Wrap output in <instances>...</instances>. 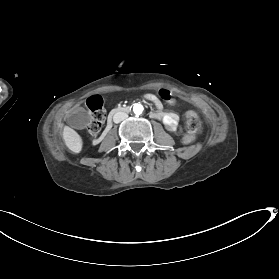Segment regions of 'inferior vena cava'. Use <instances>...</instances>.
I'll return each instance as SVG.
<instances>
[{
  "label": "inferior vena cava",
  "instance_id": "1",
  "mask_svg": "<svg viewBox=\"0 0 279 279\" xmlns=\"http://www.w3.org/2000/svg\"><path fill=\"white\" fill-rule=\"evenodd\" d=\"M128 115L125 112H116L113 120L115 123H119L120 121H123L122 123H124L125 120H127ZM125 119V120H124Z\"/></svg>",
  "mask_w": 279,
  "mask_h": 279
}]
</instances>
